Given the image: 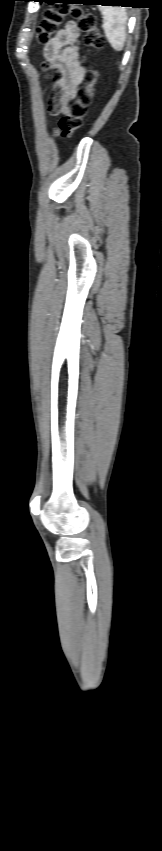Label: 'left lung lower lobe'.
Instances as JSON below:
<instances>
[{
	"mask_svg": "<svg viewBox=\"0 0 162 851\" xmlns=\"http://www.w3.org/2000/svg\"><path fill=\"white\" fill-rule=\"evenodd\" d=\"M44 1L49 3V4L55 3V0H44ZM81 1H84V0H72V1L67 2V3H81ZM87 1H89L90 3H100V2L104 3V4H102V6L105 5V4L124 6L123 4L131 3L130 0H87Z\"/></svg>",
	"mask_w": 162,
	"mask_h": 851,
	"instance_id": "obj_1",
	"label": "left lung lower lobe"
}]
</instances>
